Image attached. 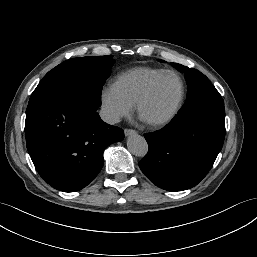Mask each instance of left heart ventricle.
Instances as JSON below:
<instances>
[{
    "label": "left heart ventricle",
    "mask_w": 257,
    "mask_h": 257,
    "mask_svg": "<svg viewBox=\"0 0 257 257\" xmlns=\"http://www.w3.org/2000/svg\"><path fill=\"white\" fill-rule=\"evenodd\" d=\"M180 94V83L173 75L164 76L155 86L142 108L145 120L156 121L166 117L176 105Z\"/></svg>",
    "instance_id": "b2bd125f"
}]
</instances>
